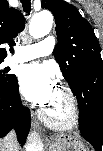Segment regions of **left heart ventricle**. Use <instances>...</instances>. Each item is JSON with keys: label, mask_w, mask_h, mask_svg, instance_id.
I'll use <instances>...</instances> for the list:
<instances>
[{"label": "left heart ventricle", "mask_w": 103, "mask_h": 151, "mask_svg": "<svg viewBox=\"0 0 103 151\" xmlns=\"http://www.w3.org/2000/svg\"><path fill=\"white\" fill-rule=\"evenodd\" d=\"M46 110L48 114L56 120H62L67 116V101L60 90L57 89L52 102L46 108Z\"/></svg>", "instance_id": "1"}]
</instances>
